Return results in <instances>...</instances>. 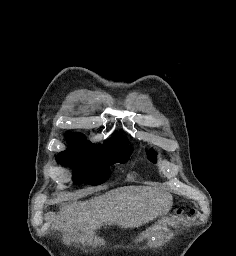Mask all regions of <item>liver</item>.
I'll list each match as a JSON object with an SVG mask.
<instances>
[{
    "label": "liver",
    "instance_id": "1",
    "mask_svg": "<svg viewBox=\"0 0 236 256\" xmlns=\"http://www.w3.org/2000/svg\"><path fill=\"white\" fill-rule=\"evenodd\" d=\"M171 206L168 192L149 186H124L85 202H71L60 208L59 222L71 234H95L101 226L138 228L153 220L156 212L167 214Z\"/></svg>",
    "mask_w": 236,
    "mask_h": 256
}]
</instances>
